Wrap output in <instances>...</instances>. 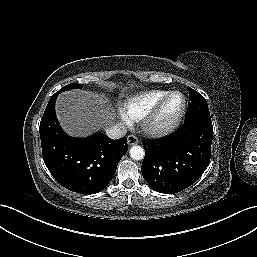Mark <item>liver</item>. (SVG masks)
Masks as SVG:
<instances>
[{"label": "liver", "mask_w": 257, "mask_h": 257, "mask_svg": "<svg viewBox=\"0 0 257 257\" xmlns=\"http://www.w3.org/2000/svg\"><path fill=\"white\" fill-rule=\"evenodd\" d=\"M103 95L71 90L58 96L56 114L63 130L70 136L86 137L111 125L115 113Z\"/></svg>", "instance_id": "1"}]
</instances>
